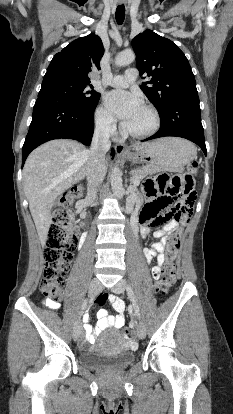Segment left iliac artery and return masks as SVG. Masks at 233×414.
<instances>
[{
  "instance_id": "obj_1",
  "label": "left iliac artery",
  "mask_w": 233,
  "mask_h": 414,
  "mask_svg": "<svg viewBox=\"0 0 233 414\" xmlns=\"http://www.w3.org/2000/svg\"><path fill=\"white\" fill-rule=\"evenodd\" d=\"M126 290H127L128 296L130 297L131 302L133 304V307H134L136 316L140 319L139 307L137 305V302H136V299H135L133 290H132V288L129 285L126 286Z\"/></svg>"
}]
</instances>
